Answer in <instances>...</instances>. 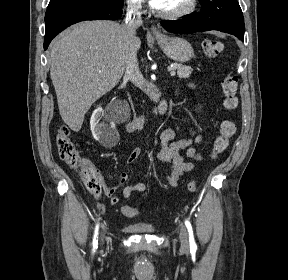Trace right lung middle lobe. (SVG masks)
I'll return each instance as SVG.
<instances>
[{"instance_id": "right-lung-middle-lobe-1", "label": "right lung middle lobe", "mask_w": 288, "mask_h": 280, "mask_svg": "<svg viewBox=\"0 0 288 280\" xmlns=\"http://www.w3.org/2000/svg\"><path fill=\"white\" fill-rule=\"evenodd\" d=\"M58 1H60V0H50L49 4H53V3H56ZM104 1L111 3L113 5H116V6H121V7L123 6V3H124V0H104Z\"/></svg>"}]
</instances>
